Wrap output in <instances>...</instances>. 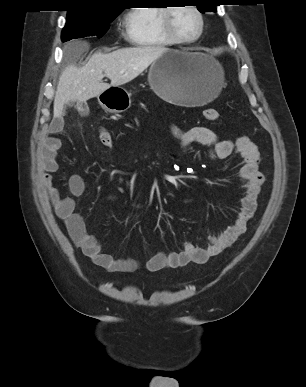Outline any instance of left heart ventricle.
<instances>
[{"label": "left heart ventricle", "mask_w": 306, "mask_h": 387, "mask_svg": "<svg viewBox=\"0 0 306 387\" xmlns=\"http://www.w3.org/2000/svg\"><path fill=\"white\" fill-rule=\"evenodd\" d=\"M172 21L175 31L183 38H193L199 31V18L190 8L178 7L174 11Z\"/></svg>", "instance_id": "1"}]
</instances>
